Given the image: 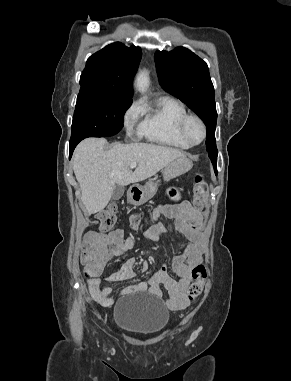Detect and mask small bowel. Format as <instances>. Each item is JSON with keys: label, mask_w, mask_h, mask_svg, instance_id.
<instances>
[{"label": "small bowel", "mask_w": 291, "mask_h": 381, "mask_svg": "<svg viewBox=\"0 0 291 381\" xmlns=\"http://www.w3.org/2000/svg\"><path fill=\"white\" fill-rule=\"evenodd\" d=\"M161 217L173 220L175 230L187 241L184 251L172 261V270L178 276V280L169 275V267L164 264L149 280L128 286L123 293H136L149 291L151 294L162 297L163 287L169 297L166 306L172 310H181L190 304L186 291L192 282V269L203 259V240L195 222L199 218V209L194 208L189 202L179 204H163L154 212L155 223L145 232L144 238L158 242L163 234L168 232L167 225ZM137 239L134 236L125 238L122 229H115L109 233L89 231L84 236L83 249H104V256L120 257L132 250ZM134 258L127 259L119 270L111 273L106 280L109 282H122L134 278ZM89 291L92 298L102 306L113 304L112 289L102 286V279L92 277L88 279Z\"/></svg>", "instance_id": "1"}]
</instances>
